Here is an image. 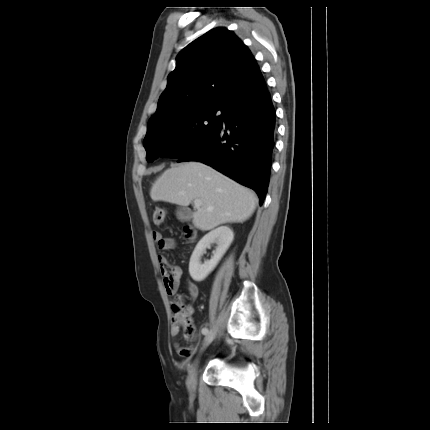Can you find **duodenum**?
I'll return each mask as SVG.
<instances>
[{
  "label": "duodenum",
  "mask_w": 430,
  "mask_h": 430,
  "mask_svg": "<svg viewBox=\"0 0 430 430\" xmlns=\"http://www.w3.org/2000/svg\"><path fill=\"white\" fill-rule=\"evenodd\" d=\"M184 232L188 239H193L195 237V230L191 226H186Z\"/></svg>",
  "instance_id": "1"
}]
</instances>
